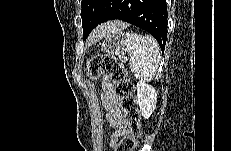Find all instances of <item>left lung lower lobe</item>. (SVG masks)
<instances>
[{
    "label": "left lung lower lobe",
    "mask_w": 231,
    "mask_h": 151,
    "mask_svg": "<svg viewBox=\"0 0 231 151\" xmlns=\"http://www.w3.org/2000/svg\"><path fill=\"white\" fill-rule=\"evenodd\" d=\"M167 16L166 0H115L99 24L112 19L131 23L154 36L163 53L167 38ZM87 37H83V40Z\"/></svg>",
    "instance_id": "1"
}]
</instances>
